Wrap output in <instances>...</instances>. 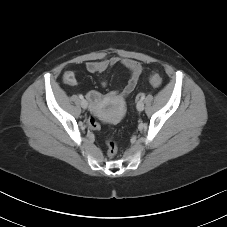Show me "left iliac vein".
<instances>
[{
  "label": "left iliac vein",
  "mask_w": 227,
  "mask_h": 227,
  "mask_svg": "<svg viewBox=\"0 0 227 227\" xmlns=\"http://www.w3.org/2000/svg\"><path fill=\"white\" fill-rule=\"evenodd\" d=\"M136 108L138 111H143L144 110V102L142 100L138 101Z\"/></svg>",
  "instance_id": "4c4485c4"
}]
</instances>
